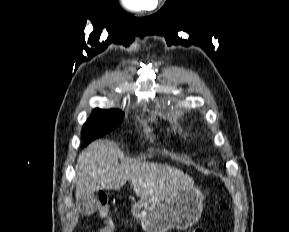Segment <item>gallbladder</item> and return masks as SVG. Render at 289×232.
<instances>
[{"instance_id": "bac80fb5", "label": "gallbladder", "mask_w": 289, "mask_h": 232, "mask_svg": "<svg viewBox=\"0 0 289 232\" xmlns=\"http://www.w3.org/2000/svg\"><path fill=\"white\" fill-rule=\"evenodd\" d=\"M77 205L82 215L89 216L93 214L97 208L96 197L94 195L86 198L82 196L77 200Z\"/></svg>"}]
</instances>
